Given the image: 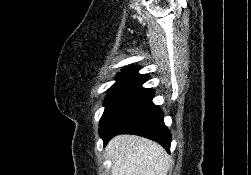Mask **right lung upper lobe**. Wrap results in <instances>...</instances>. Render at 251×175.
I'll use <instances>...</instances> for the list:
<instances>
[{
  "instance_id": "right-lung-upper-lobe-1",
  "label": "right lung upper lobe",
  "mask_w": 251,
  "mask_h": 175,
  "mask_svg": "<svg viewBox=\"0 0 251 175\" xmlns=\"http://www.w3.org/2000/svg\"><path fill=\"white\" fill-rule=\"evenodd\" d=\"M139 66H130L122 70V72L117 74V77H127V78H133L135 80L139 81H146L149 79V76L147 74H139Z\"/></svg>"
}]
</instances>
